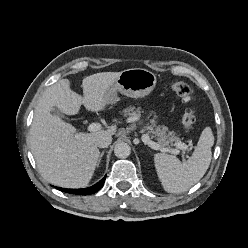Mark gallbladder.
<instances>
[{"mask_svg": "<svg viewBox=\"0 0 248 248\" xmlns=\"http://www.w3.org/2000/svg\"><path fill=\"white\" fill-rule=\"evenodd\" d=\"M51 113L53 115H56V116L60 117V118H64V115L59 110L54 109V110L51 111Z\"/></svg>", "mask_w": 248, "mask_h": 248, "instance_id": "gallbladder-1", "label": "gallbladder"}]
</instances>
